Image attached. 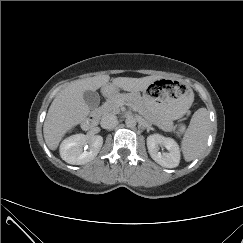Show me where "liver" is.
<instances>
[{"label":"liver","mask_w":243,"mask_h":243,"mask_svg":"<svg viewBox=\"0 0 243 243\" xmlns=\"http://www.w3.org/2000/svg\"><path fill=\"white\" fill-rule=\"evenodd\" d=\"M161 76L143 78L118 77L112 85L128 92L145 90ZM109 75L94 76L76 80L61 90L51 103L43 125L44 139L51 150H56L63 136L70 129L80 124L89 114L90 108L85 103L83 94L86 90L96 91L108 84Z\"/></svg>","instance_id":"liver-1"}]
</instances>
